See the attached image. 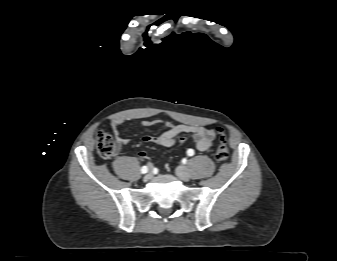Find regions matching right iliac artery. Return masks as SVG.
Segmentation results:
<instances>
[{
	"mask_svg": "<svg viewBox=\"0 0 337 261\" xmlns=\"http://www.w3.org/2000/svg\"><path fill=\"white\" fill-rule=\"evenodd\" d=\"M147 172H148L147 166H143V167L141 168V173L145 174V173H147Z\"/></svg>",
	"mask_w": 337,
	"mask_h": 261,
	"instance_id": "obj_1",
	"label": "right iliac artery"
}]
</instances>
